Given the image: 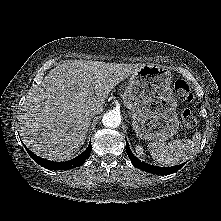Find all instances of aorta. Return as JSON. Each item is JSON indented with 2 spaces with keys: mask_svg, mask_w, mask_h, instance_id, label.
I'll return each instance as SVG.
<instances>
[{
  "mask_svg": "<svg viewBox=\"0 0 221 221\" xmlns=\"http://www.w3.org/2000/svg\"><path fill=\"white\" fill-rule=\"evenodd\" d=\"M102 123L105 127L116 128L121 123L120 113L117 111H109L104 114L102 118Z\"/></svg>",
  "mask_w": 221,
  "mask_h": 221,
  "instance_id": "762f6f07",
  "label": "aorta"
}]
</instances>
